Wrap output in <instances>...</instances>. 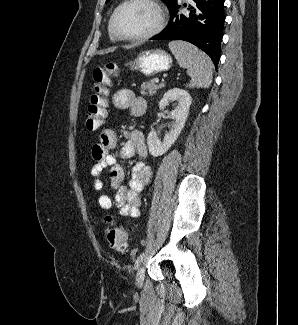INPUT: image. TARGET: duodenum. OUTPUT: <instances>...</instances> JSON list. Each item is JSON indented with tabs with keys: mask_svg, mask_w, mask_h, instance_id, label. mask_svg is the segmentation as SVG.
Segmentation results:
<instances>
[{
	"mask_svg": "<svg viewBox=\"0 0 298 325\" xmlns=\"http://www.w3.org/2000/svg\"><path fill=\"white\" fill-rule=\"evenodd\" d=\"M144 111H145V109H144V108H142V109L139 111V114H142V113H144Z\"/></svg>",
	"mask_w": 298,
	"mask_h": 325,
	"instance_id": "obj_1",
	"label": "duodenum"
}]
</instances>
